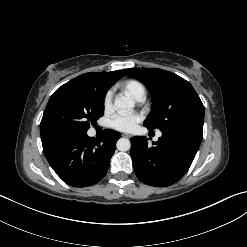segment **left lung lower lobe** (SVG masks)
Returning <instances> with one entry per match:
<instances>
[{"label":"left lung lower lobe","mask_w":247,"mask_h":247,"mask_svg":"<svg viewBox=\"0 0 247 247\" xmlns=\"http://www.w3.org/2000/svg\"><path fill=\"white\" fill-rule=\"evenodd\" d=\"M134 170L138 179L151 186L165 187L179 181L191 166L201 140L184 132L162 133L157 142L148 138L130 139Z\"/></svg>","instance_id":"obj_1"}]
</instances>
